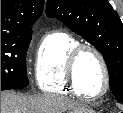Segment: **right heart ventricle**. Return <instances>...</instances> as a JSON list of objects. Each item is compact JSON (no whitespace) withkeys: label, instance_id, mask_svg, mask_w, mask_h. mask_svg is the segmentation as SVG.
<instances>
[{"label":"right heart ventricle","instance_id":"right-heart-ventricle-1","mask_svg":"<svg viewBox=\"0 0 123 113\" xmlns=\"http://www.w3.org/2000/svg\"><path fill=\"white\" fill-rule=\"evenodd\" d=\"M79 42L70 34L54 30L41 40L35 58V82L38 88L47 93H77L68 79L67 60Z\"/></svg>","mask_w":123,"mask_h":113}]
</instances>
